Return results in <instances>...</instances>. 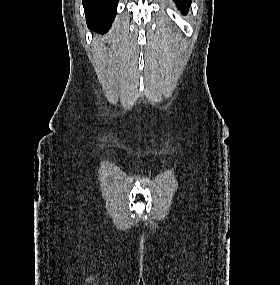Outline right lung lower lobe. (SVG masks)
<instances>
[{
	"label": "right lung lower lobe",
	"mask_w": 280,
	"mask_h": 285,
	"mask_svg": "<svg viewBox=\"0 0 280 285\" xmlns=\"http://www.w3.org/2000/svg\"><path fill=\"white\" fill-rule=\"evenodd\" d=\"M118 0H83L87 26L106 33L116 16Z\"/></svg>",
	"instance_id": "right-lung-lower-lobe-1"
}]
</instances>
